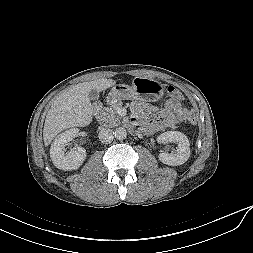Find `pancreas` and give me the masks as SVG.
<instances>
[{
  "mask_svg": "<svg viewBox=\"0 0 253 253\" xmlns=\"http://www.w3.org/2000/svg\"><path fill=\"white\" fill-rule=\"evenodd\" d=\"M122 106L121 102L112 104L110 107L102 108L99 116V120L107 126L114 127L119 125L120 116L117 114V110Z\"/></svg>",
  "mask_w": 253,
  "mask_h": 253,
  "instance_id": "1",
  "label": "pancreas"
}]
</instances>
